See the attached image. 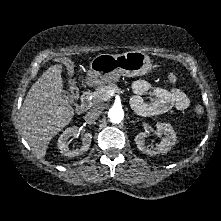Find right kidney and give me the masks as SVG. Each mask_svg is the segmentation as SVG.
<instances>
[{
	"instance_id": "obj_1",
	"label": "right kidney",
	"mask_w": 221,
	"mask_h": 221,
	"mask_svg": "<svg viewBox=\"0 0 221 221\" xmlns=\"http://www.w3.org/2000/svg\"><path fill=\"white\" fill-rule=\"evenodd\" d=\"M78 135V128L76 126L67 128L58 139V148L60 153L67 157H75L84 154L91 144L92 134L85 133L82 138V146L74 150H70L68 147V140L70 137Z\"/></svg>"
}]
</instances>
